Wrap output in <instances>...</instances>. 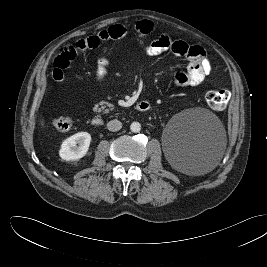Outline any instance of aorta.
I'll return each instance as SVG.
<instances>
[{
  "label": "aorta",
  "mask_w": 267,
  "mask_h": 267,
  "mask_svg": "<svg viewBox=\"0 0 267 267\" xmlns=\"http://www.w3.org/2000/svg\"><path fill=\"white\" fill-rule=\"evenodd\" d=\"M130 130L134 133H138L141 130V124L139 122H133L130 125Z\"/></svg>",
  "instance_id": "obj_1"
}]
</instances>
